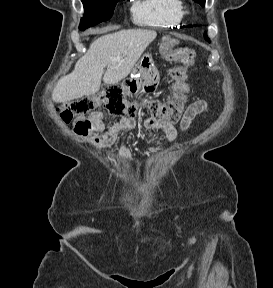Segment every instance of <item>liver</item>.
<instances>
[{
    "label": "liver",
    "mask_w": 273,
    "mask_h": 288,
    "mask_svg": "<svg viewBox=\"0 0 273 288\" xmlns=\"http://www.w3.org/2000/svg\"><path fill=\"white\" fill-rule=\"evenodd\" d=\"M157 32L149 29H128L105 34L93 41L76 63L74 70L62 77L52 92L56 103L97 93L103 82L115 85L129 75ZM120 57L119 61L114 58Z\"/></svg>",
    "instance_id": "1"
}]
</instances>
